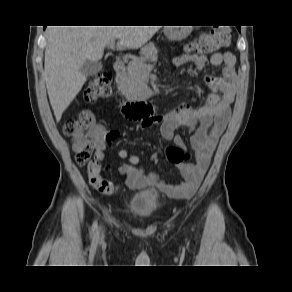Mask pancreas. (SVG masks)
<instances>
[{
  "label": "pancreas",
  "instance_id": "obj_1",
  "mask_svg": "<svg viewBox=\"0 0 292 292\" xmlns=\"http://www.w3.org/2000/svg\"><path fill=\"white\" fill-rule=\"evenodd\" d=\"M158 50L154 43H149L141 49V57L129 62L124 71L120 73L117 81L122 94L127 99H137L144 88L143 81L144 67L146 62L157 60Z\"/></svg>",
  "mask_w": 292,
  "mask_h": 292
}]
</instances>
